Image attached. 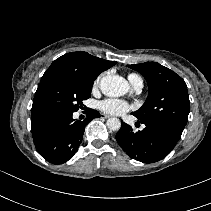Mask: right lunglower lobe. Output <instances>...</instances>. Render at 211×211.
Masks as SVG:
<instances>
[{"instance_id": "right-lung-lower-lobe-1", "label": "right lung lower lobe", "mask_w": 211, "mask_h": 211, "mask_svg": "<svg viewBox=\"0 0 211 211\" xmlns=\"http://www.w3.org/2000/svg\"><path fill=\"white\" fill-rule=\"evenodd\" d=\"M73 113H54L31 118V131L39 154L52 164H63L73 157L82 142L85 125L100 117L98 111L87 110V118L74 120Z\"/></svg>"}]
</instances>
